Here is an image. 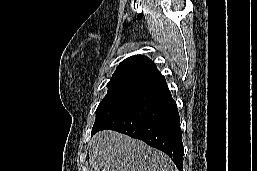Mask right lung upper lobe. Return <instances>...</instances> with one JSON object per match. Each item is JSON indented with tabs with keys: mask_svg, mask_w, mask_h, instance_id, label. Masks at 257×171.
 Here are the masks:
<instances>
[{
	"mask_svg": "<svg viewBox=\"0 0 257 171\" xmlns=\"http://www.w3.org/2000/svg\"><path fill=\"white\" fill-rule=\"evenodd\" d=\"M163 81L164 76L152 60L143 55H135L119 64L107 86L125 89L147 86L150 89Z\"/></svg>",
	"mask_w": 257,
	"mask_h": 171,
	"instance_id": "cb5924a9",
	"label": "right lung upper lobe"
}]
</instances>
